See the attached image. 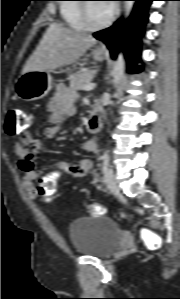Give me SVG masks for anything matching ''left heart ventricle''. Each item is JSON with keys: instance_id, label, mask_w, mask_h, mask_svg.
Here are the masks:
<instances>
[{"instance_id": "left-heart-ventricle-1", "label": "left heart ventricle", "mask_w": 180, "mask_h": 299, "mask_svg": "<svg viewBox=\"0 0 180 299\" xmlns=\"http://www.w3.org/2000/svg\"><path fill=\"white\" fill-rule=\"evenodd\" d=\"M88 5L90 21L93 24L104 22L111 13L104 3H88Z\"/></svg>"}]
</instances>
